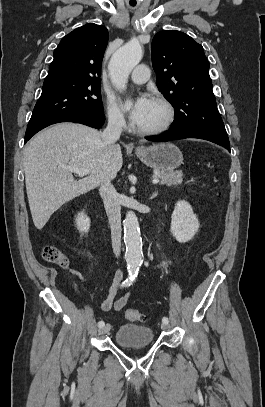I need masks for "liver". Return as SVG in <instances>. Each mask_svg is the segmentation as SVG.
Returning <instances> with one entry per match:
<instances>
[{
  "label": "liver",
  "instance_id": "6515ba94",
  "mask_svg": "<svg viewBox=\"0 0 265 407\" xmlns=\"http://www.w3.org/2000/svg\"><path fill=\"white\" fill-rule=\"evenodd\" d=\"M123 164L120 145H107L101 133L77 123H59L32 138L24 150L27 197L34 225L41 230L63 204L115 178ZM65 166L89 170L73 178Z\"/></svg>",
  "mask_w": 265,
  "mask_h": 407
}]
</instances>
